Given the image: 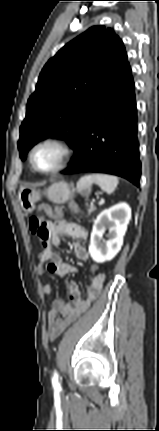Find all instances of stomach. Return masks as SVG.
Wrapping results in <instances>:
<instances>
[{"label": "stomach", "mask_w": 159, "mask_h": 431, "mask_svg": "<svg viewBox=\"0 0 159 431\" xmlns=\"http://www.w3.org/2000/svg\"><path fill=\"white\" fill-rule=\"evenodd\" d=\"M79 193L83 196H89L90 185L77 183V186H70L66 182L60 181L53 183L43 193L49 201L55 204H64L68 200ZM41 192L29 186H21L17 193V200L22 210L26 213H31L35 209V203L41 199Z\"/></svg>", "instance_id": "obj_1"}]
</instances>
